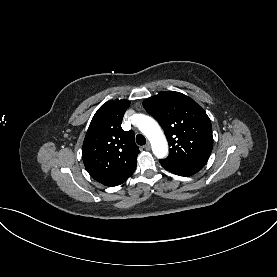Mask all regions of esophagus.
Here are the masks:
<instances>
[{
  "instance_id": "obj_1",
  "label": "esophagus",
  "mask_w": 277,
  "mask_h": 277,
  "mask_svg": "<svg viewBox=\"0 0 277 277\" xmlns=\"http://www.w3.org/2000/svg\"><path fill=\"white\" fill-rule=\"evenodd\" d=\"M144 148H145L146 150H150V149H151L150 143L147 142V143L145 144Z\"/></svg>"
}]
</instances>
